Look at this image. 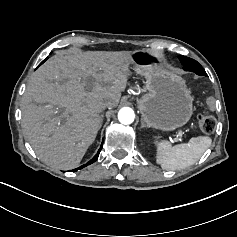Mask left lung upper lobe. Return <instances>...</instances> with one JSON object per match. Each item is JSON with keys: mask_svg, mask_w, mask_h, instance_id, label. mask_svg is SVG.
Instances as JSON below:
<instances>
[{"mask_svg": "<svg viewBox=\"0 0 237 237\" xmlns=\"http://www.w3.org/2000/svg\"><path fill=\"white\" fill-rule=\"evenodd\" d=\"M179 58L184 65L185 71H191L196 73L197 75L208 77L203 67L196 60L181 55L179 56Z\"/></svg>", "mask_w": 237, "mask_h": 237, "instance_id": "1", "label": "left lung upper lobe"}]
</instances>
